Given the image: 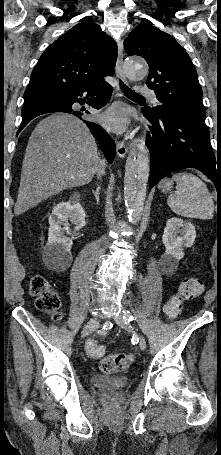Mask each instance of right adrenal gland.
Returning a JSON list of instances; mask_svg holds the SVG:
<instances>
[{
  "label": "right adrenal gland",
  "instance_id": "obj_1",
  "mask_svg": "<svg viewBox=\"0 0 221 455\" xmlns=\"http://www.w3.org/2000/svg\"><path fill=\"white\" fill-rule=\"evenodd\" d=\"M100 190H101V187L98 185L97 188H96V190H95V191H92V193L94 194V196H95V198H96V200H97V203H99V201H100V197H99V195H100Z\"/></svg>",
  "mask_w": 221,
  "mask_h": 455
}]
</instances>
